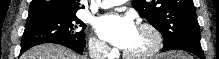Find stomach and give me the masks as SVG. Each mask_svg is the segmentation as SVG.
<instances>
[{
    "instance_id": "0dacf381",
    "label": "stomach",
    "mask_w": 219,
    "mask_h": 59,
    "mask_svg": "<svg viewBox=\"0 0 219 59\" xmlns=\"http://www.w3.org/2000/svg\"><path fill=\"white\" fill-rule=\"evenodd\" d=\"M167 57H173V55L172 54H168Z\"/></svg>"
}]
</instances>
